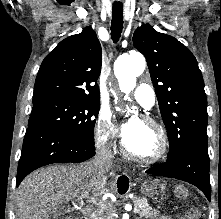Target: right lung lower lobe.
<instances>
[{
  "mask_svg": "<svg viewBox=\"0 0 221 219\" xmlns=\"http://www.w3.org/2000/svg\"><path fill=\"white\" fill-rule=\"evenodd\" d=\"M95 155V146L58 130L29 125L24 137L16 186L33 170L58 162L80 163Z\"/></svg>",
  "mask_w": 221,
  "mask_h": 219,
  "instance_id": "obj_1",
  "label": "right lung lower lobe"
}]
</instances>
